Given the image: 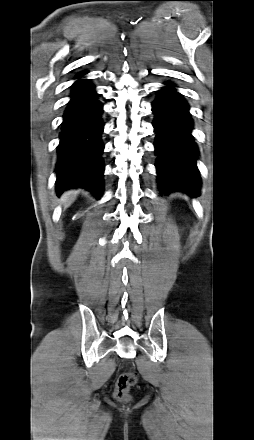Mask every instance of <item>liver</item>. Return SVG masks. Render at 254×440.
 <instances>
[{"instance_id": "obj_1", "label": "liver", "mask_w": 254, "mask_h": 440, "mask_svg": "<svg viewBox=\"0 0 254 440\" xmlns=\"http://www.w3.org/2000/svg\"><path fill=\"white\" fill-rule=\"evenodd\" d=\"M77 194H78V192L75 190H70V191L65 192L60 199V203L64 207H69L76 199Z\"/></svg>"}]
</instances>
